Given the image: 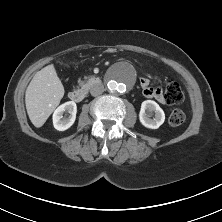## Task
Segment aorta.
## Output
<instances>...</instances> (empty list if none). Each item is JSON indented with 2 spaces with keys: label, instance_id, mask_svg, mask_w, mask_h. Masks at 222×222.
I'll return each mask as SVG.
<instances>
[{
  "label": "aorta",
  "instance_id": "762f6f07",
  "mask_svg": "<svg viewBox=\"0 0 222 222\" xmlns=\"http://www.w3.org/2000/svg\"><path fill=\"white\" fill-rule=\"evenodd\" d=\"M134 83V75L127 66L114 69L107 77V88L112 94L127 91Z\"/></svg>",
  "mask_w": 222,
  "mask_h": 222
}]
</instances>
